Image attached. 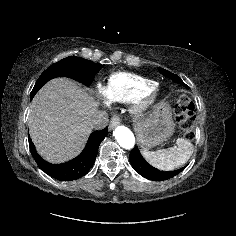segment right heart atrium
Segmentation results:
<instances>
[{
  "instance_id": "obj_1",
  "label": "right heart atrium",
  "mask_w": 236,
  "mask_h": 236,
  "mask_svg": "<svg viewBox=\"0 0 236 236\" xmlns=\"http://www.w3.org/2000/svg\"><path fill=\"white\" fill-rule=\"evenodd\" d=\"M97 90L100 94H102L104 96V91H105V86L98 84L97 85Z\"/></svg>"
}]
</instances>
